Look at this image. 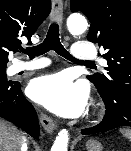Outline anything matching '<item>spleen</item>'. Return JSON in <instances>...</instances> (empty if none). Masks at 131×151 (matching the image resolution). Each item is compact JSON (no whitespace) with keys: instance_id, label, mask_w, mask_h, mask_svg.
Listing matches in <instances>:
<instances>
[{"instance_id":"3e777b00","label":"spleen","mask_w":131,"mask_h":151,"mask_svg":"<svg viewBox=\"0 0 131 151\" xmlns=\"http://www.w3.org/2000/svg\"><path fill=\"white\" fill-rule=\"evenodd\" d=\"M122 135L131 142V130L130 129H120Z\"/></svg>"}]
</instances>
